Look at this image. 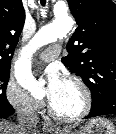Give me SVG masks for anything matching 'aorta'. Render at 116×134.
I'll use <instances>...</instances> for the list:
<instances>
[{"label":"aorta","instance_id":"1","mask_svg":"<svg viewBox=\"0 0 116 134\" xmlns=\"http://www.w3.org/2000/svg\"><path fill=\"white\" fill-rule=\"evenodd\" d=\"M73 20L68 15L56 19L42 27L30 43L22 50L21 56L15 65V77L21 87L32 95L42 92L43 82L37 81L30 67V55L38 48L63 38L71 30Z\"/></svg>","mask_w":116,"mask_h":134}]
</instances>
